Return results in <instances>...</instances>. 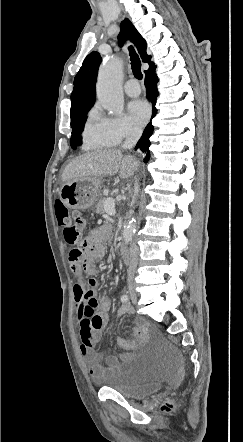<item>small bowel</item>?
Returning <instances> with one entry per match:
<instances>
[{
	"mask_svg": "<svg viewBox=\"0 0 243 442\" xmlns=\"http://www.w3.org/2000/svg\"><path fill=\"white\" fill-rule=\"evenodd\" d=\"M111 234V226L104 224L92 229L87 237L84 259L75 264L69 260V265L76 275L86 272L90 276L96 275V266L106 254L105 243ZM94 278L84 281H77L73 286V295L76 309V322L79 328L80 344L79 354L83 358L90 377L95 382H100L109 377L116 369L119 358L107 356L105 364H102V356L96 352L95 346L102 340L104 329L109 319L112 301L109 298H99ZM132 311L130 305L122 306L120 313L126 314ZM149 326L143 320H137L134 328V340H127L122 337L116 338V344L124 350H133L145 344ZM129 356L125 353L121 356L124 359Z\"/></svg>",
	"mask_w": 243,
	"mask_h": 442,
	"instance_id": "1",
	"label": "small bowel"
}]
</instances>
